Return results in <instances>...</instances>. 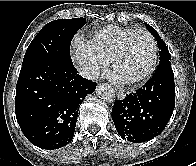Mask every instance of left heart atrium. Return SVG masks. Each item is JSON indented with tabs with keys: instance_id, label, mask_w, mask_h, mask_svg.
I'll list each match as a JSON object with an SVG mask.
<instances>
[{
	"instance_id": "obj_1",
	"label": "left heart atrium",
	"mask_w": 196,
	"mask_h": 166,
	"mask_svg": "<svg viewBox=\"0 0 196 166\" xmlns=\"http://www.w3.org/2000/svg\"><path fill=\"white\" fill-rule=\"evenodd\" d=\"M112 78L118 82V83H124L125 80H123L119 75H117L116 73L112 74Z\"/></svg>"
}]
</instances>
